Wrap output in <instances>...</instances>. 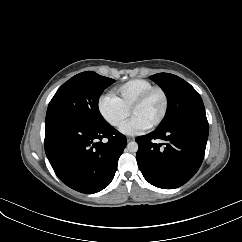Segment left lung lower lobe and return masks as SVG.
<instances>
[{
	"mask_svg": "<svg viewBox=\"0 0 242 242\" xmlns=\"http://www.w3.org/2000/svg\"><path fill=\"white\" fill-rule=\"evenodd\" d=\"M208 132L206 115H193L137 137L136 158L144 178L163 189L185 184L203 161ZM155 139L164 143H154Z\"/></svg>",
	"mask_w": 242,
	"mask_h": 242,
	"instance_id": "1",
	"label": "left lung lower lobe"
}]
</instances>
